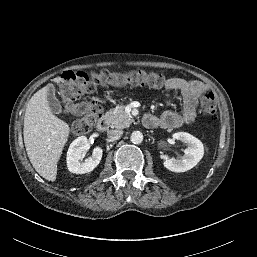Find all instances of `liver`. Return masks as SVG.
<instances>
[{
  "instance_id": "1",
  "label": "liver",
  "mask_w": 257,
  "mask_h": 257,
  "mask_svg": "<svg viewBox=\"0 0 257 257\" xmlns=\"http://www.w3.org/2000/svg\"><path fill=\"white\" fill-rule=\"evenodd\" d=\"M54 82L62 86L63 79ZM49 86L38 90L29 100L24 117V144L34 169L48 181L57 176V163L68 141L70 127L55 116L48 104Z\"/></svg>"
}]
</instances>
